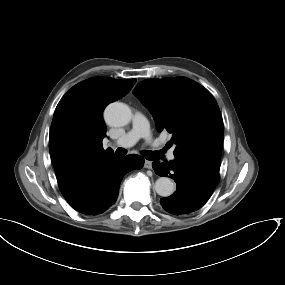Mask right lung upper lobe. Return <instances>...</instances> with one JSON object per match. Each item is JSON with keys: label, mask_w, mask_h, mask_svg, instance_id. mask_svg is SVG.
Segmentation results:
<instances>
[{"label": "right lung upper lobe", "mask_w": 285, "mask_h": 285, "mask_svg": "<svg viewBox=\"0 0 285 285\" xmlns=\"http://www.w3.org/2000/svg\"><path fill=\"white\" fill-rule=\"evenodd\" d=\"M136 79L94 77L73 86L58 103L49 135V151L58 186L68 195L88 174L115 159L104 150L103 110L129 93Z\"/></svg>", "instance_id": "1"}]
</instances>
